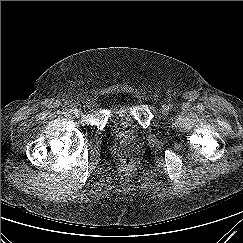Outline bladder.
<instances>
[{
	"mask_svg": "<svg viewBox=\"0 0 243 243\" xmlns=\"http://www.w3.org/2000/svg\"><path fill=\"white\" fill-rule=\"evenodd\" d=\"M131 113V105L125 100L114 101L110 108L108 129L114 137L125 143H133L140 137L139 127Z\"/></svg>",
	"mask_w": 243,
	"mask_h": 243,
	"instance_id": "bladder-1",
	"label": "bladder"
}]
</instances>
